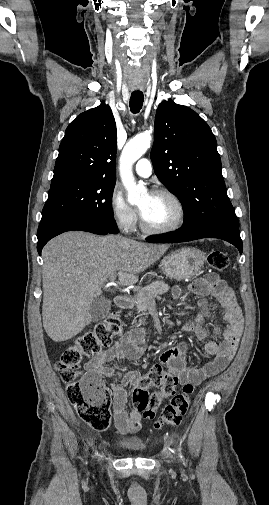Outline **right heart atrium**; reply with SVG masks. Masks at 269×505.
I'll return each mask as SVG.
<instances>
[{
	"mask_svg": "<svg viewBox=\"0 0 269 505\" xmlns=\"http://www.w3.org/2000/svg\"><path fill=\"white\" fill-rule=\"evenodd\" d=\"M109 206L112 218L118 227L124 231L133 230L138 220L137 211L127 203L119 189L115 188L112 191Z\"/></svg>",
	"mask_w": 269,
	"mask_h": 505,
	"instance_id": "d8ad5b80",
	"label": "right heart atrium"
}]
</instances>
